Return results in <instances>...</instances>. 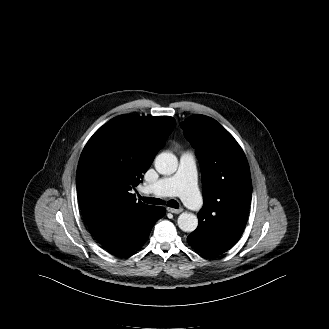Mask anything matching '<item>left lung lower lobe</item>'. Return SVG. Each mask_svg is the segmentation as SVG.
I'll use <instances>...</instances> for the list:
<instances>
[{
  "label": "left lung lower lobe",
  "instance_id": "obj_1",
  "mask_svg": "<svg viewBox=\"0 0 329 329\" xmlns=\"http://www.w3.org/2000/svg\"><path fill=\"white\" fill-rule=\"evenodd\" d=\"M246 222H229L223 229H206L198 225L187 241L206 256H217L234 246L242 235Z\"/></svg>",
  "mask_w": 329,
  "mask_h": 329
}]
</instances>
